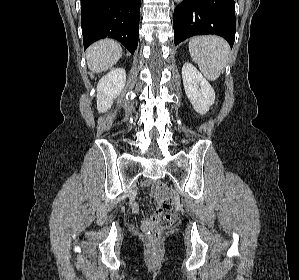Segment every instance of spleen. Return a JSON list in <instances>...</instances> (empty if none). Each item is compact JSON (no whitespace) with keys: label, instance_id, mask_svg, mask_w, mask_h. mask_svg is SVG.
Masks as SVG:
<instances>
[{"label":"spleen","instance_id":"spleen-1","mask_svg":"<svg viewBox=\"0 0 299 280\" xmlns=\"http://www.w3.org/2000/svg\"><path fill=\"white\" fill-rule=\"evenodd\" d=\"M188 48L203 75L210 81L218 79L230 57L228 43L220 37L200 36L192 38Z\"/></svg>","mask_w":299,"mask_h":280}]
</instances>
